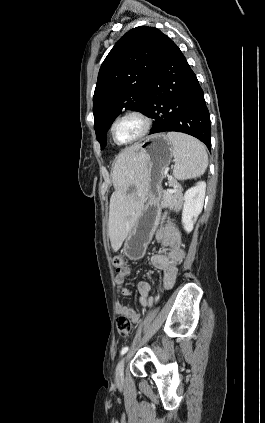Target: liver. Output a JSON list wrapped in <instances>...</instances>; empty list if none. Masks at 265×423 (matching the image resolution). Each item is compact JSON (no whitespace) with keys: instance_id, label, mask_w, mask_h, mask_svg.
Segmentation results:
<instances>
[{"instance_id":"obj_1","label":"liver","mask_w":265,"mask_h":423,"mask_svg":"<svg viewBox=\"0 0 265 423\" xmlns=\"http://www.w3.org/2000/svg\"><path fill=\"white\" fill-rule=\"evenodd\" d=\"M139 149L140 145L135 144L122 151L113 167L115 192L110 198L108 234L115 252L132 230L148 193L146 157ZM130 187L134 193L128 192Z\"/></svg>"}]
</instances>
